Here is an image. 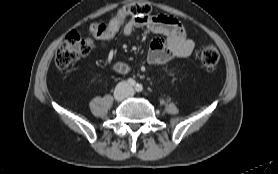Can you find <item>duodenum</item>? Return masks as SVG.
<instances>
[{"label":"duodenum","instance_id":"1","mask_svg":"<svg viewBox=\"0 0 278 174\" xmlns=\"http://www.w3.org/2000/svg\"><path fill=\"white\" fill-rule=\"evenodd\" d=\"M115 69H116L118 72L123 73V72H125V71L127 70V67H126V65L123 64V63H117V64L115 65Z\"/></svg>","mask_w":278,"mask_h":174}]
</instances>
